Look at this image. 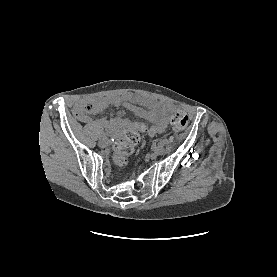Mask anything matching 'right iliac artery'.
Returning a JSON list of instances; mask_svg holds the SVG:
<instances>
[{
	"label": "right iliac artery",
	"mask_w": 277,
	"mask_h": 277,
	"mask_svg": "<svg viewBox=\"0 0 277 277\" xmlns=\"http://www.w3.org/2000/svg\"><path fill=\"white\" fill-rule=\"evenodd\" d=\"M108 136H109V134L107 132H103L100 137L107 138Z\"/></svg>",
	"instance_id": "obj_1"
}]
</instances>
